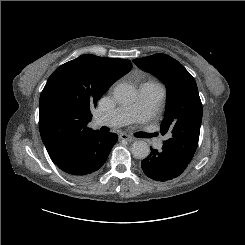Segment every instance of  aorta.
I'll use <instances>...</instances> for the list:
<instances>
[{"label":"aorta","mask_w":245,"mask_h":245,"mask_svg":"<svg viewBox=\"0 0 245 245\" xmlns=\"http://www.w3.org/2000/svg\"><path fill=\"white\" fill-rule=\"evenodd\" d=\"M114 98L120 104H130L136 98V90L129 84H119L114 89ZM131 153L136 159H145L150 154V147L145 141H135L131 145Z\"/></svg>","instance_id":"762f6f07"}]
</instances>
